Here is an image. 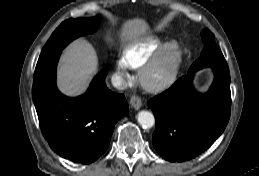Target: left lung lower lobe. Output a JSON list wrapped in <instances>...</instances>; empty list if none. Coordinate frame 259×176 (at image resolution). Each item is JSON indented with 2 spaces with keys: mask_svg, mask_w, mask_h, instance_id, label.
I'll return each instance as SVG.
<instances>
[{
  "mask_svg": "<svg viewBox=\"0 0 259 176\" xmlns=\"http://www.w3.org/2000/svg\"><path fill=\"white\" fill-rule=\"evenodd\" d=\"M213 71L215 79L205 94L195 91L194 72H188L170 89L149 100L156 119L153 144L164 159H193L224 131L231 112L230 74L229 69Z\"/></svg>",
  "mask_w": 259,
  "mask_h": 176,
  "instance_id": "obj_1",
  "label": "left lung lower lobe"
}]
</instances>
